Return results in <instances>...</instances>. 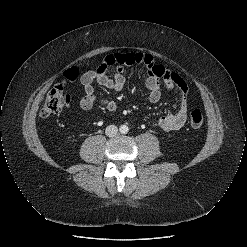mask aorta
I'll use <instances>...</instances> for the list:
<instances>
[{"instance_id": "obj_1", "label": "aorta", "mask_w": 247, "mask_h": 247, "mask_svg": "<svg viewBox=\"0 0 247 247\" xmlns=\"http://www.w3.org/2000/svg\"><path fill=\"white\" fill-rule=\"evenodd\" d=\"M119 130H120V132H121L122 134H127L128 131H129V128H128L127 125H121L120 128H119Z\"/></svg>"}]
</instances>
